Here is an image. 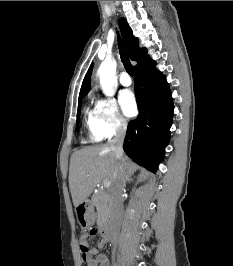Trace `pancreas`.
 I'll return each mask as SVG.
<instances>
[{
	"label": "pancreas",
	"instance_id": "pancreas-1",
	"mask_svg": "<svg viewBox=\"0 0 233 266\" xmlns=\"http://www.w3.org/2000/svg\"><path fill=\"white\" fill-rule=\"evenodd\" d=\"M92 202L97 208V221L101 223L110 213V195L107 191L101 189L93 195Z\"/></svg>",
	"mask_w": 233,
	"mask_h": 266
}]
</instances>
